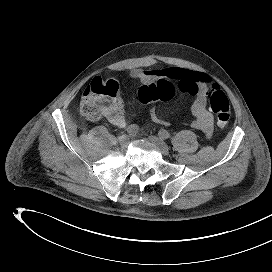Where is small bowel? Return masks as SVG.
Instances as JSON below:
<instances>
[{"mask_svg": "<svg viewBox=\"0 0 272 272\" xmlns=\"http://www.w3.org/2000/svg\"><path fill=\"white\" fill-rule=\"evenodd\" d=\"M130 75L145 85L159 79L167 80L174 83L182 92L193 95L190 108L193 119L190 125L201 131L207 139L211 138L213 116L206 108V90L210 84V78L207 75L177 67L161 70L135 69L131 71ZM123 109V100L119 98L114 111L107 116L114 125L124 124ZM150 116L155 123L169 125V121L160 118L154 108L150 110Z\"/></svg>", "mask_w": 272, "mask_h": 272, "instance_id": "c3829d8e", "label": "small bowel"}]
</instances>
